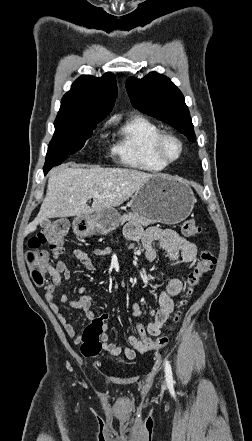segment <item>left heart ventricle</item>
Returning a JSON list of instances; mask_svg holds the SVG:
<instances>
[{
  "mask_svg": "<svg viewBox=\"0 0 252 441\" xmlns=\"http://www.w3.org/2000/svg\"><path fill=\"white\" fill-rule=\"evenodd\" d=\"M164 154L169 158H174L179 152L178 145L173 141H166L163 147Z\"/></svg>",
  "mask_w": 252,
  "mask_h": 441,
  "instance_id": "obj_1",
  "label": "left heart ventricle"
}]
</instances>
